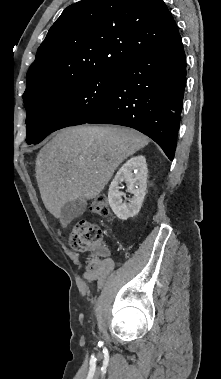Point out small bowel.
Segmentation results:
<instances>
[{
  "label": "small bowel",
  "mask_w": 221,
  "mask_h": 379,
  "mask_svg": "<svg viewBox=\"0 0 221 379\" xmlns=\"http://www.w3.org/2000/svg\"><path fill=\"white\" fill-rule=\"evenodd\" d=\"M101 254L103 256H107L108 252L106 250H102ZM114 267V262L110 258H105L101 262H99L97 268L93 271L86 273L85 278L90 282H96L100 287L103 284L104 278L106 274L111 271Z\"/></svg>",
  "instance_id": "1"
}]
</instances>
